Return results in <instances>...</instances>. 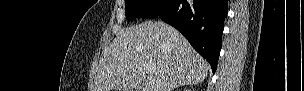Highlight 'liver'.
I'll use <instances>...</instances> for the list:
<instances>
[{"mask_svg":"<svg viewBox=\"0 0 304 91\" xmlns=\"http://www.w3.org/2000/svg\"><path fill=\"white\" fill-rule=\"evenodd\" d=\"M145 66L154 70L143 82ZM208 71L209 64L179 31L146 21L121 30L104 51L94 91H172L203 82Z\"/></svg>","mask_w":304,"mask_h":91,"instance_id":"1","label":"liver"}]
</instances>
